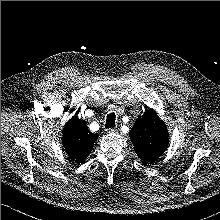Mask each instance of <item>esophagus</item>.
I'll return each mask as SVG.
<instances>
[{
    "mask_svg": "<svg viewBox=\"0 0 220 220\" xmlns=\"http://www.w3.org/2000/svg\"><path fill=\"white\" fill-rule=\"evenodd\" d=\"M105 131H106V133H108V134H115V133L118 132L117 129H115V128H108V129H106Z\"/></svg>",
    "mask_w": 220,
    "mask_h": 220,
    "instance_id": "obj_1",
    "label": "esophagus"
}]
</instances>
